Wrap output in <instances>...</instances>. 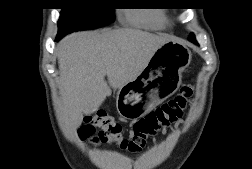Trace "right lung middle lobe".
Here are the masks:
<instances>
[{"label":"right lung middle lobe","instance_id":"1","mask_svg":"<svg viewBox=\"0 0 252 169\" xmlns=\"http://www.w3.org/2000/svg\"><path fill=\"white\" fill-rule=\"evenodd\" d=\"M111 0H62L58 22L59 33H68L106 26L114 20Z\"/></svg>","mask_w":252,"mask_h":169}]
</instances>
